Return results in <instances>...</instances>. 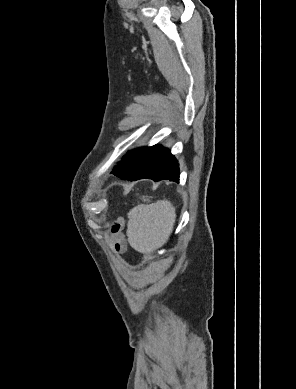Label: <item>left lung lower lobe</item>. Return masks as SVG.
Listing matches in <instances>:
<instances>
[{
	"mask_svg": "<svg viewBox=\"0 0 296 389\" xmlns=\"http://www.w3.org/2000/svg\"><path fill=\"white\" fill-rule=\"evenodd\" d=\"M112 174L131 181L149 178L179 183V164L170 150L154 145L129 151Z\"/></svg>",
	"mask_w": 296,
	"mask_h": 389,
	"instance_id": "obj_1",
	"label": "left lung lower lobe"
}]
</instances>
